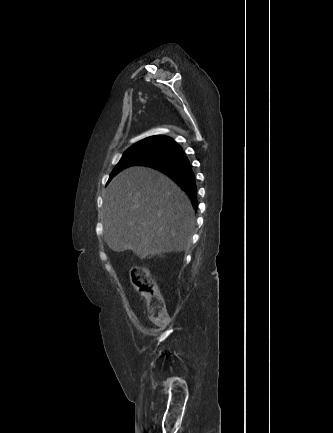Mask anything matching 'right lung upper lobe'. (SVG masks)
Segmentation results:
<instances>
[{
	"instance_id": "obj_1",
	"label": "right lung upper lobe",
	"mask_w": 333,
	"mask_h": 433,
	"mask_svg": "<svg viewBox=\"0 0 333 433\" xmlns=\"http://www.w3.org/2000/svg\"><path fill=\"white\" fill-rule=\"evenodd\" d=\"M167 139H171V138L166 137V136H161V135L151 136V137H147V138H145V139H143V140L137 142V143L134 144V145H137V144H139V143H141V142H147V141H152V140L163 142L164 140H167Z\"/></svg>"
}]
</instances>
